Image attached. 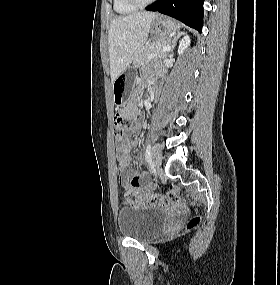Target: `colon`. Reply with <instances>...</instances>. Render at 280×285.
Here are the masks:
<instances>
[{
  "label": "colon",
  "mask_w": 280,
  "mask_h": 285,
  "mask_svg": "<svg viewBox=\"0 0 280 285\" xmlns=\"http://www.w3.org/2000/svg\"><path fill=\"white\" fill-rule=\"evenodd\" d=\"M131 127V119L117 112L113 118V135L116 140H121ZM180 195L176 189H171L167 194H143L133 190L125 192V200L129 204H154L159 206H172L179 201ZM201 223L200 216H193L187 224L188 229H193Z\"/></svg>",
  "instance_id": "obj_1"
}]
</instances>
